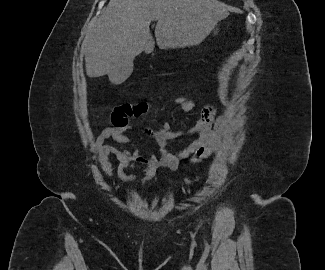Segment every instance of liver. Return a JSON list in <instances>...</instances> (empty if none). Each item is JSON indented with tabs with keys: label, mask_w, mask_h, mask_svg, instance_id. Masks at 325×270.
Segmentation results:
<instances>
[{
	"label": "liver",
	"mask_w": 325,
	"mask_h": 270,
	"mask_svg": "<svg viewBox=\"0 0 325 270\" xmlns=\"http://www.w3.org/2000/svg\"><path fill=\"white\" fill-rule=\"evenodd\" d=\"M228 15L217 0H110L83 43L87 76L108 74L111 83H123L134 58L154 48L151 21H157L158 46L175 49L201 43ZM119 61L131 63L129 73L113 72Z\"/></svg>",
	"instance_id": "liver-1"
}]
</instances>
